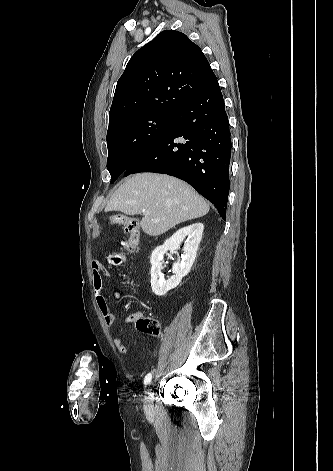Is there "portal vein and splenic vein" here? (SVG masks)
I'll return each instance as SVG.
<instances>
[{"label": "portal vein and splenic vein", "instance_id": "18ae733b", "mask_svg": "<svg viewBox=\"0 0 333 471\" xmlns=\"http://www.w3.org/2000/svg\"><path fill=\"white\" fill-rule=\"evenodd\" d=\"M143 213H144V214H148V211H147V210H144ZM156 222H158V220H156Z\"/></svg>", "mask_w": 333, "mask_h": 471}]
</instances>
